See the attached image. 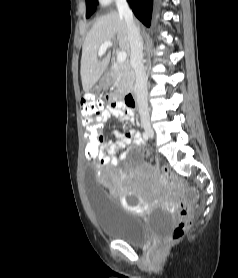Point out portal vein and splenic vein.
<instances>
[{
  "label": "portal vein and splenic vein",
  "mask_w": 238,
  "mask_h": 278,
  "mask_svg": "<svg viewBox=\"0 0 238 278\" xmlns=\"http://www.w3.org/2000/svg\"><path fill=\"white\" fill-rule=\"evenodd\" d=\"M113 46L111 41L104 42L98 50V55L101 57L105 54L106 50ZM127 58V53L125 51H121L117 53V62L124 63Z\"/></svg>",
  "instance_id": "18ae733b"
}]
</instances>
